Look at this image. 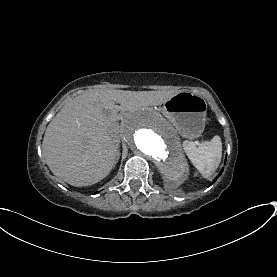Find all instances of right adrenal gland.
<instances>
[{
	"label": "right adrenal gland",
	"instance_id": "obj_1",
	"mask_svg": "<svg viewBox=\"0 0 277 277\" xmlns=\"http://www.w3.org/2000/svg\"><path fill=\"white\" fill-rule=\"evenodd\" d=\"M120 155H121V153H120V151L118 150V151H117V156H116L115 164L118 163V160H119V158H120Z\"/></svg>",
	"mask_w": 277,
	"mask_h": 277
}]
</instances>
